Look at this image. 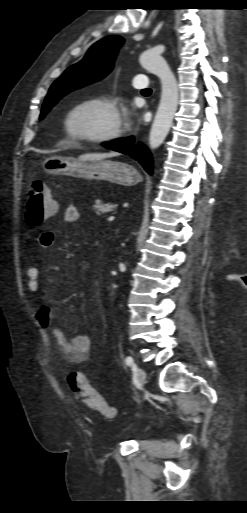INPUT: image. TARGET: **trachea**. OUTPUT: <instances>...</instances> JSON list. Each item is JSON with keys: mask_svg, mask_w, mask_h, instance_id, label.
<instances>
[{"mask_svg": "<svg viewBox=\"0 0 247 513\" xmlns=\"http://www.w3.org/2000/svg\"><path fill=\"white\" fill-rule=\"evenodd\" d=\"M143 93H151V89H144L142 90ZM244 280H247V277H244Z\"/></svg>", "mask_w": 247, "mask_h": 513, "instance_id": "3493384b", "label": "trachea"}]
</instances>
